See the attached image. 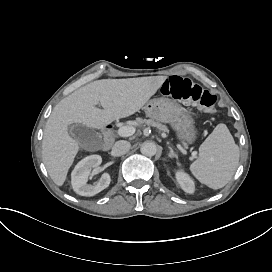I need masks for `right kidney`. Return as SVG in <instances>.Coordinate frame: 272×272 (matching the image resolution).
Listing matches in <instances>:
<instances>
[{"label":"right kidney","mask_w":272,"mask_h":272,"mask_svg":"<svg viewBox=\"0 0 272 272\" xmlns=\"http://www.w3.org/2000/svg\"><path fill=\"white\" fill-rule=\"evenodd\" d=\"M102 163L100 155H90L77 163L71 173V185L73 190L81 196H94L107 188L111 178L108 173L102 174L101 178L94 185L87 184L91 169L94 173H99V165Z\"/></svg>","instance_id":"1"}]
</instances>
